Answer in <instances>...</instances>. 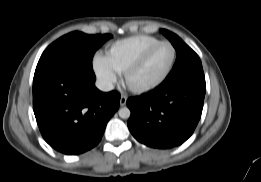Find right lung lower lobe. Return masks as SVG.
Here are the masks:
<instances>
[{
    "label": "right lung lower lobe",
    "mask_w": 261,
    "mask_h": 182,
    "mask_svg": "<svg viewBox=\"0 0 261 182\" xmlns=\"http://www.w3.org/2000/svg\"><path fill=\"white\" fill-rule=\"evenodd\" d=\"M93 70L62 60L35 72L33 110L44 140L55 150L76 155L95 147L119 108L120 94L95 86Z\"/></svg>",
    "instance_id": "1"
}]
</instances>
